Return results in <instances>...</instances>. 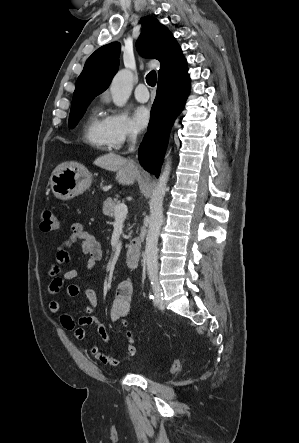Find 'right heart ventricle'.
<instances>
[{
  "instance_id": "right-heart-ventricle-1",
  "label": "right heart ventricle",
  "mask_w": 299,
  "mask_h": 443,
  "mask_svg": "<svg viewBox=\"0 0 299 443\" xmlns=\"http://www.w3.org/2000/svg\"><path fill=\"white\" fill-rule=\"evenodd\" d=\"M84 140L98 150H108L111 147L105 128V118H101L97 109L90 113L85 128Z\"/></svg>"
}]
</instances>
